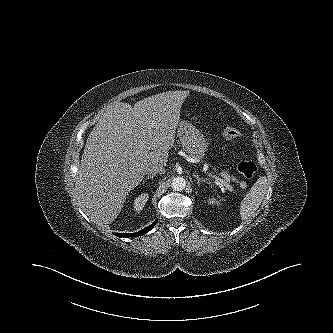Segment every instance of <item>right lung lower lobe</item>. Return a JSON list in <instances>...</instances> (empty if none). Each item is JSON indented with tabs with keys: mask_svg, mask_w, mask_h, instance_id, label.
Returning a JSON list of instances; mask_svg holds the SVG:
<instances>
[{
	"mask_svg": "<svg viewBox=\"0 0 333 333\" xmlns=\"http://www.w3.org/2000/svg\"><path fill=\"white\" fill-rule=\"evenodd\" d=\"M156 222H154L153 224H151L150 226H148L147 228L140 230L138 232L135 233H118V237H137V236H141L144 235L145 233L149 232L154 226H155Z\"/></svg>",
	"mask_w": 333,
	"mask_h": 333,
	"instance_id": "right-lung-lower-lobe-1",
	"label": "right lung lower lobe"
}]
</instances>
